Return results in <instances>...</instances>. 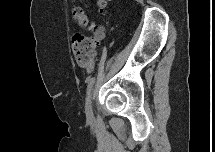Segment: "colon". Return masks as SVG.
Segmentation results:
<instances>
[{
  "instance_id": "1",
  "label": "colon",
  "mask_w": 215,
  "mask_h": 152,
  "mask_svg": "<svg viewBox=\"0 0 215 152\" xmlns=\"http://www.w3.org/2000/svg\"><path fill=\"white\" fill-rule=\"evenodd\" d=\"M97 4L103 9L107 1L97 0ZM73 17L80 27H87L90 24V16L83 8L76 7L73 9ZM102 27H96L93 35L87 37L81 34L74 35L72 39V52L78 65L87 71L92 68L91 60L95 53V48L103 37Z\"/></svg>"
}]
</instances>
